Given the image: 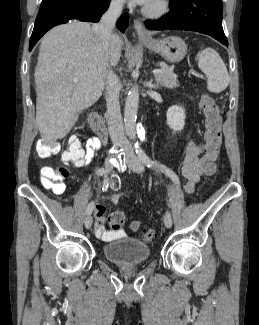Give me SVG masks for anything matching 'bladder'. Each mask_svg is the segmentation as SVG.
Here are the masks:
<instances>
[{"label": "bladder", "instance_id": "obj_1", "mask_svg": "<svg viewBox=\"0 0 259 325\" xmlns=\"http://www.w3.org/2000/svg\"><path fill=\"white\" fill-rule=\"evenodd\" d=\"M104 257L116 264L131 265L145 262L150 254L149 245L132 237H124L103 246Z\"/></svg>", "mask_w": 259, "mask_h": 325}]
</instances>
